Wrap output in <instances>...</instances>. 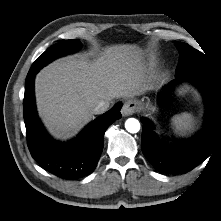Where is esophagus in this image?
Masks as SVG:
<instances>
[{
	"label": "esophagus",
	"instance_id": "obj_1",
	"mask_svg": "<svg viewBox=\"0 0 221 221\" xmlns=\"http://www.w3.org/2000/svg\"><path fill=\"white\" fill-rule=\"evenodd\" d=\"M138 104L135 100L129 99L127 100L122 107V114L124 116H129L137 112Z\"/></svg>",
	"mask_w": 221,
	"mask_h": 221
}]
</instances>
